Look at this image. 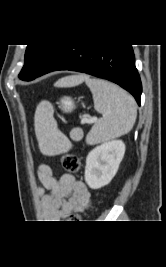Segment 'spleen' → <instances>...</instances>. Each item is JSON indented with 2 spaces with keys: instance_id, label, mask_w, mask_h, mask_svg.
I'll list each match as a JSON object with an SVG mask.
<instances>
[{
  "instance_id": "spleen-1",
  "label": "spleen",
  "mask_w": 166,
  "mask_h": 267,
  "mask_svg": "<svg viewBox=\"0 0 166 267\" xmlns=\"http://www.w3.org/2000/svg\"><path fill=\"white\" fill-rule=\"evenodd\" d=\"M86 84L93 94L94 108L103 115L87 134L86 143L94 145L127 134L137 115L134 98L108 81L87 78ZM35 131L44 154H60L71 148V143L59 131L50 113L38 116Z\"/></svg>"
}]
</instances>
